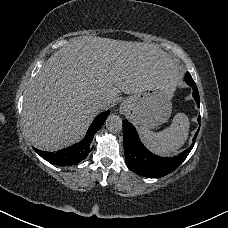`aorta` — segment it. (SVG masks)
I'll use <instances>...</instances> for the list:
<instances>
[{"instance_id": "obj_1", "label": "aorta", "mask_w": 228, "mask_h": 228, "mask_svg": "<svg viewBox=\"0 0 228 228\" xmlns=\"http://www.w3.org/2000/svg\"><path fill=\"white\" fill-rule=\"evenodd\" d=\"M105 124L109 132L118 133L122 130V119L117 115H110Z\"/></svg>"}]
</instances>
